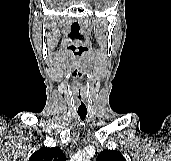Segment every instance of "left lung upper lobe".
<instances>
[{
	"label": "left lung upper lobe",
	"instance_id": "left-lung-upper-lobe-1",
	"mask_svg": "<svg viewBox=\"0 0 171 161\" xmlns=\"http://www.w3.org/2000/svg\"><path fill=\"white\" fill-rule=\"evenodd\" d=\"M97 161H126L119 151L104 150L97 158Z\"/></svg>",
	"mask_w": 171,
	"mask_h": 161
}]
</instances>
